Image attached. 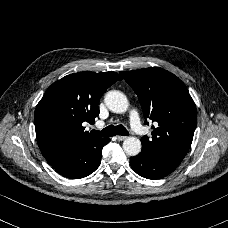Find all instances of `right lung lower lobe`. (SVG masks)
<instances>
[{
  "instance_id": "obj_1",
  "label": "right lung lower lobe",
  "mask_w": 228,
  "mask_h": 228,
  "mask_svg": "<svg viewBox=\"0 0 228 228\" xmlns=\"http://www.w3.org/2000/svg\"><path fill=\"white\" fill-rule=\"evenodd\" d=\"M109 138H94L75 149L46 158L48 163L62 176L79 179L93 173L101 162L102 148Z\"/></svg>"
}]
</instances>
